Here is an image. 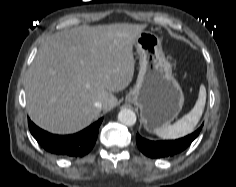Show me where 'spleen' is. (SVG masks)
I'll use <instances>...</instances> for the list:
<instances>
[{"mask_svg":"<svg viewBox=\"0 0 236 187\" xmlns=\"http://www.w3.org/2000/svg\"><path fill=\"white\" fill-rule=\"evenodd\" d=\"M205 102L206 90L201 86L193 109L174 124L155 129L154 133L162 139H177L191 133L203 114Z\"/></svg>","mask_w":236,"mask_h":187,"instance_id":"obj_1","label":"spleen"}]
</instances>
